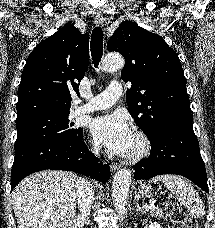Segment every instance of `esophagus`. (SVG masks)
<instances>
[{
    "label": "esophagus",
    "instance_id": "34e87169",
    "mask_svg": "<svg viewBox=\"0 0 215 228\" xmlns=\"http://www.w3.org/2000/svg\"><path fill=\"white\" fill-rule=\"evenodd\" d=\"M94 21H95V24L98 27H102L103 24H104V17H103V15L102 14H95L94 15ZM110 168H111L112 171H115L117 169V166L116 165H111Z\"/></svg>",
    "mask_w": 215,
    "mask_h": 228
}]
</instances>
